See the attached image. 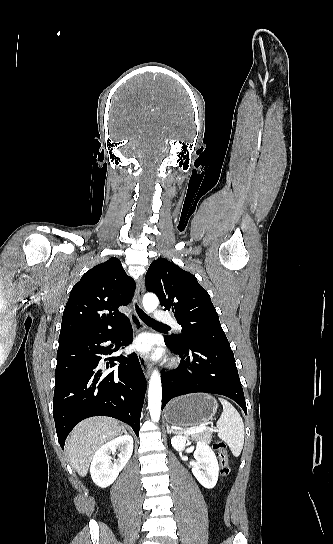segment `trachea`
<instances>
[{
	"label": "trachea",
	"mask_w": 333,
	"mask_h": 544,
	"mask_svg": "<svg viewBox=\"0 0 333 544\" xmlns=\"http://www.w3.org/2000/svg\"><path fill=\"white\" fill-rule=\"evenodd\" d=\"M135 308H136V312L139 315V317L141 318V320H143L146 324L156 325V326H160V327H167V328L169 327L168 325L160 323V322L152 319L151 317H149L146 313H144L139 308V306L137 304L135 305Z\"/></svg>",
	"instance_id": "trachea-1"
}]
</instances>
